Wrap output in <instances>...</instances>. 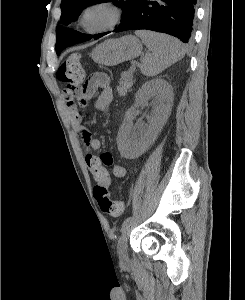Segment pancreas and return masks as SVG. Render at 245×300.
<instances>
[{
    "instance_id": "1",
    "label": "pancreas",
    "mask_w": 245,
    "mask_h": 300,
    "mask_svg": "<svg viewBox=\"0 0 245 300\" xmlns=\"http://www.w3.org/2000/svg\"><path fill=\"white\" fill-rule=\"evenodd\" d=\"M133 84V70L123 72L121 74V80L117 86V90L120 96H125Z\"/></svg>"
}]
</instances>
